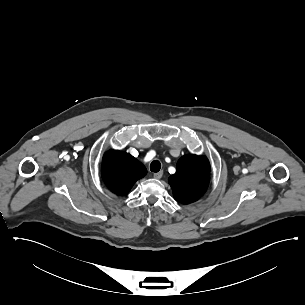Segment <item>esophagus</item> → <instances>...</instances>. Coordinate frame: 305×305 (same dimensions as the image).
<instances>
[{
    "label": "esophagus",
    "mask_w": 305,
    "mask_h": 305,
    "mask_svg": "<svg viewBox=\"0 0 305 305\" xmlns=\"http://www.w3.org/2000/svg\"><path fill=\"white\" fill-rule=\"evenodd\" d=\"M154 178L155 179H161L163 176V171H159L158 173H154Z\"/></svg>",
    "instance_id": "34e87169"
}]
</instances>
